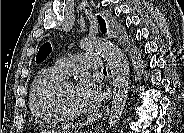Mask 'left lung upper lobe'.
<instances>
[{"label":"left lung upper lobe","instance_id":"1","mask_svg":"<svg viewBox=\"0 0 184 133\" xmlns=\"http://www.w3.org/2000/svg\"><path fill=\"white\" fill-rule=\"evenodd\" d=\"M98 17V22L101 28V32L106 33V24H105V20L102 19L101 16H97ZM51 45L50 43H44L40 48L39 51L37 53L36 56V62L37 63H41L43 60L46 59V57L50 54L51 52Z\"/></svg>","mask_w":184,"mask_h":133}]
</instances>
